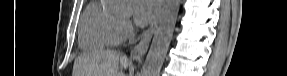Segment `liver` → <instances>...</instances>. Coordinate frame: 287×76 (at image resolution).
Wrapping results in <instances>:
<instances>
[{"label":"liver","mask_w":287,"mask_h":76,"mask_svg":"<svg viewBox=\"0 0 287 76\" xmlns=\"http://www.w3.org/2000/svg\"><path fill=\"white\" fill-rule=\"evenodd\" d=\"M119 63L124 69L130 65L126 56L116 51L100 50L84 54L74 62V76H119Z\"/></svg>","instance_id":"6515ba94"}]
</instances>
